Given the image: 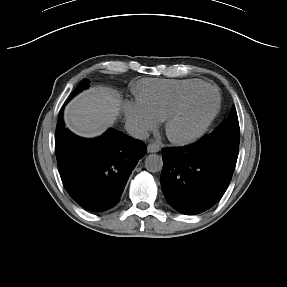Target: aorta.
Here are the masks:
<instances>
[{"mask_svg":"<svg viewBox=\"0 0 287 287\" xmlns=\"http://www.w3.org/2000/svg\"><path fill=\"white\" fill-rule=\"evenodd\" d=\"M163 161L162 157L158 154H150L145 159V168L152 173L162 170Z\"/></svg>","mask_w":287,"mask_h":287,"instance_id":"762f6f07","label":"aorta"}]
</instances>
